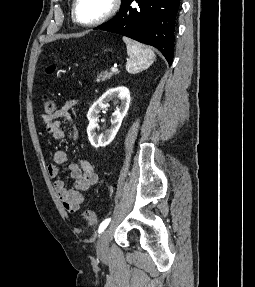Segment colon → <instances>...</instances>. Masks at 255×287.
<instances>
[{
  "mask_svg": "<svg viewBox=\"0 0 255 287\" xmlns=\"http://www.w3.org/2000/svg\"><path fill=\"white\" fill-rule=\"evenodd\" d=\"M56 71H57V61L55 60L47 66L46 74L51 76ZM43 105H44L45 111L48 114H52L56 109V104H55L54 100L49 96H44ZM83 217L91 225H97L100 221L99 216L90 209H86L83 212Z\"/></svg>",
  "mask_w": 255,
  "mask_h": 287,
  "instance_id": "5ec220e1",
  "label": "colon"
}]
</instances>
